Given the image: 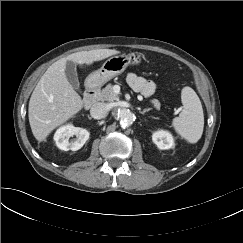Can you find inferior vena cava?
<instances>
[{"mask_svg": "<svg viewBox=\"0 0 243 243\" xmlns=\"http://www.w3.org/2000/svg\"><path fill=\"white\" fill-rule=\"evenodd\" d=\"M108 110L103 103H96L90 109V114L94 119H102L106 116Z\"/></svg>", "mask_w": 243, "mask_h": 243, "instance_id": "1", "label": "inferior vena cava"}]
</instances>
